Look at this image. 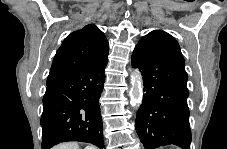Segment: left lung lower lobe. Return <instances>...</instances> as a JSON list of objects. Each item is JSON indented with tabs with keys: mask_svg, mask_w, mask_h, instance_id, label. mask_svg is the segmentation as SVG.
<instances>
[{
	"mask_svg": "<svg viewBox=\"0 0 227 149\" xmlns=\"http://www.w3.org/2000/svg\"><path fill=\"white\" fill-rule=\"evenodd\" d=\"M131 63L141 71L146 92L136 117L144 148L190 149L187 73L178 42L162 30L152 31L135 46Z\"/></svg>",
	"mask_w": 227,
	"mask_h": 149,
	"instance_id": "obj_1",
	"label": "left lung lower lobe"
}]
</instances>
